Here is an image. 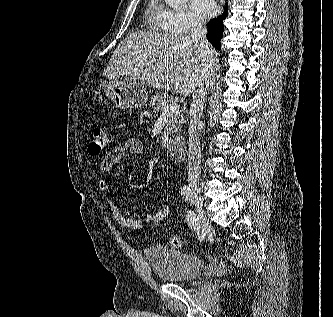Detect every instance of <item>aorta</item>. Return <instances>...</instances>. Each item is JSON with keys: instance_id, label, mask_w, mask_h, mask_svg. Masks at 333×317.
Here are the masks:
<instances>
[{"instance_id": "1", "label": "aorta", "mask_w": 333, "mask_h": 317, "mask_svg": "<svg viewBox=\"0 0 333 317\" xmlns=\"http://www.w3.org/2000/svg\"><path fill=\"white\" fill-rule=\"evenodd\" d=\"M188 0H165L166 4L172 8L182 7Z\"/></svg>"}]
</instances>
